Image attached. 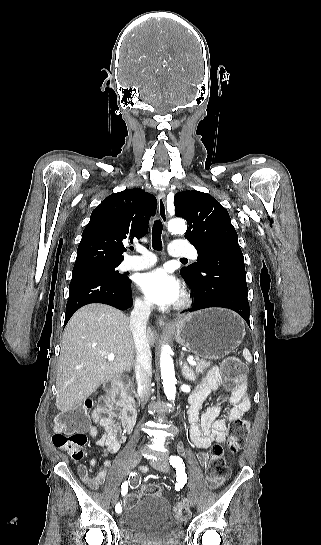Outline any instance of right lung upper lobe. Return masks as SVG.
Segmentation results:
<instances>
[{"label":"right lung upper lobe","instance_id":"right-lung-upper-lobe-1","mask_svg":"<svg viewBox=\"0 0 321 545\" xmlns=\"http://www.w3.org/2000/svg\"><path fill=\"white\" fill-rule=\"evenodd\" d=\"M156 208V198L139 188L106 197L92 211L82 233L73 270L120 264L126 251L123 242H132L147 233Z\"/></svg>","mask_w":321,"mask_h":545}]
</instances>
